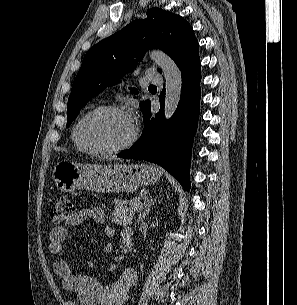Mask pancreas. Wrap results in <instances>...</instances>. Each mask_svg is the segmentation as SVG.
I'll use <instances>...</instances> for the list:
<instances>
[{
    "mask_svg": "<svg viewBox=\"0 0 297 305\" xmlns=\"http://www.w3.org/2000/svg\"><path fill=\"white\" fill-rule=\"evenodd\" d=\"M115 210L111 214L112 220L119 225H128L132 222L136 211L134 205L123 206L121 200H114Z\"/></svg>",
    "mask_w": 297,
    "mask_h": 305,
    "instance_id": "1",
    "label": "pancreas"
}]
</instances>
